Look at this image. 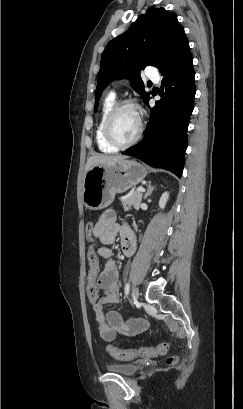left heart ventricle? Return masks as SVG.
<instances>
[{
  "instance_id": "obj_1",
  "label": "left heart ventricle",
  "mask_w": 243,
  "mask_h": 409,
  "mask_svg": "<svg viewBox=\"0 0 243 409\" xmlns=\"http://www.w3.org/2000/svg\"><path fill=\"white\" fill-rule=\"evenodd\" d=\"M113 132L121 141L132 139L139 129V115L135 108L124 107L114 118Z\"/></svg>"
}]
</instances>
